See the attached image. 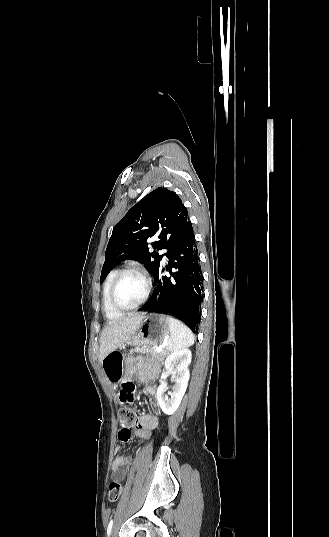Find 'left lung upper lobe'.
Segmentation results:
<instances>
[{
	"instance_id": "left-lung-upper-lobe-1",
	"label": "left lung upper lobe",
	"mask_w": 329,
	"mask_h": 537,
	"mask_svg": "<svg viewBox=\"0 0 329 537\" xmlns=\"http://www.w3.org/2000/svg\"><path fill=\"white\" fill-rule=\"evenodd\" d=\"M190 225L186 207L179 196L166 188H157L134 205L116 224L107 249L100 281L124 259L139 261L153 275L166 254ZM155 237L150 251L146 240Z\"/></svg>"
}]
</instances>
